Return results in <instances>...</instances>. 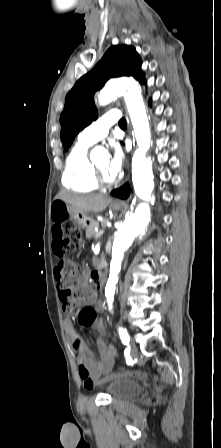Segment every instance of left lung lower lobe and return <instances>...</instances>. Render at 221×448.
Segmentation results:
<instances>
[{"instance_id":"left-lung-lower-lobe-1","label":"left lung lower lobe","mask_w":221,"mask_h":448,"mask_svg":"<svg viewBox=\"0 0 221 448\" xmlns=\"http://www.w3.org/2000/svg\"><path fill=\"white\" fill-rule=\"evenodd\" d=\"M130 194V188L128 184H125L123 187L113 190L111 192V195L121 198V199H126Z\"/></svg>"}]
</instances>
